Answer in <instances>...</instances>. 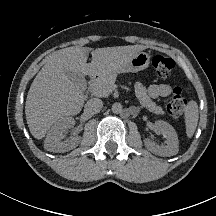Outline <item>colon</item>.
Here are the masks:
<instances>
[{
    "instance_id": "obj_1",
    "label": "colon",
    "mask_w": 216,
    "mask_h": 216,
    "mask_svg": "<svg viewBox=\"0 0 216 216\" xmlns=\"http://www.w3.org/2000/svg\"><path fill=\"white\" fill-rule=\"evenodd\" d=\"M152 64L157 74L163 78L168 77L175 66V62L172 58L162 55L155 56ZM186 106L187 100L182 88L178 86L174 87L169 103L167 104L168 113L171 116L179 117L184 113Z\"/></svg>"
}]
</instances>
